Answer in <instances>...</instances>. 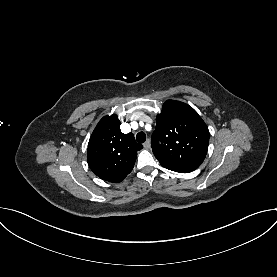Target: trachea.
<instances>
[{"label": "trachea", "mask_w": 277, "mask_h": 277, "mask_svg": "<svg viewBox=\"0 0 277 277\" xmlns=\"http://www.w3.org/2000/svg\"><path fill=\"white\" fill-rule=\"evenodd\" d=\"M136 140H137L138 143H144L145 140H146V134L144 132H139L136 135Z\"/></svg>", "instance_id": "1"}]
</instances>
